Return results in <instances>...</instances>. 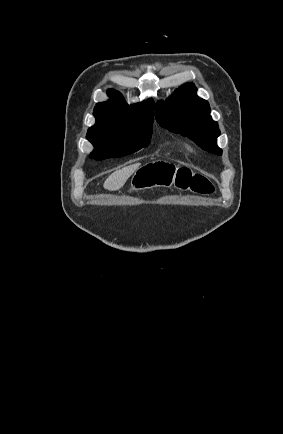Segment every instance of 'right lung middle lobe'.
I'll return each instance as SVG.
<instances>
[{"instance_id":"dd1d6c3e","label":"right lung middle lobe","mask_w":283,"mask_h":434,"mask_svg":"<svg viewBox=\"0 0 283 434\" xmlns=\"http://www.w3.org/2000/svg\"><path fill=\"white\" fill-rule=\"evenodd\" d=\"M152 124L113 128L89 129L87 139L95 146L92 156L95 159L122 157L148 146Z\"/></svg>"}]
</instances>
